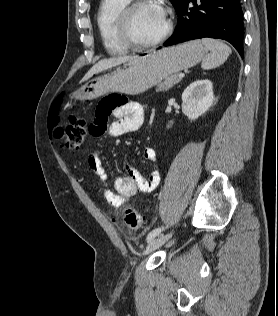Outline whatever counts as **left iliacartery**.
Wrapping results in <instances>:
<instances>
[{"label":"left iliac artery","instance_id":"44dca946","mask_svg":"<svg viewBox=\"0 0 278 316\" xmlns=\"http://www.w3.org/2000/svg\"><path fill=\"white\" fill-rule=\"evenodd\" d=\"M163 229H164V228L161 227V228H156V229L152 230V231L147 235L146 240H147V241H151V240L154 239L157 235H159V233H161V231H162Z\"/></svg>","mask_w":278,"mask_h":316}]
</instances>
